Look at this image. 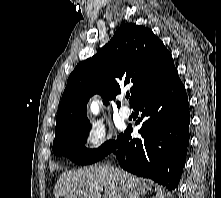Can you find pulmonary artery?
Returning a JSON list of instances; mask_svg holds the SVG:
<instances>
[{
	"label": "pulmonary artery",
	"mask_w": 221,
	"mask_h": 198,
	"mask_svg": "<svg viewBox=\"0 0 221 198\" xmlns=\"http://www.w3.org/2000/svg\"><path fill=\"white\" fill-rule=\"evenodd\" d=\"M119 114L123 119H127L131 116V109L128 106L124 105L119 109Z\"/></svg>",
	"instance_id": "obj_1"
}]
</instances>
